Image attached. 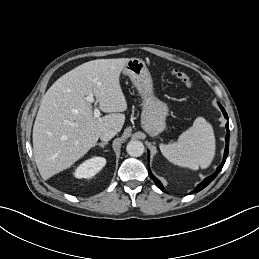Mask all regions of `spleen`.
Wrapping results in <instances>:
<instances>
[{
	"instance_id": "spleen-1",
	"label": "spleen",
	"mask_w": 259,
	"mask_h": 259,
	"mask_svg": "<svg viewBox=\"0 0 259 259\" xmlns=\"http://www.w3.org/2000/svg\"><path fill=\"white\" fill-rule=\"evenodd\" d=\"M215 137L212 126L202 117L184 131L177 142L161 144L160 150L171 163L197 170L207 168L215 155Z\"/></svg>"
}]
</instances>
